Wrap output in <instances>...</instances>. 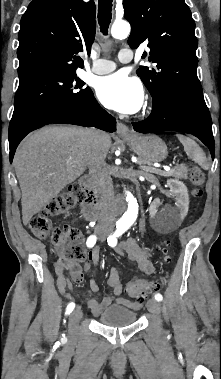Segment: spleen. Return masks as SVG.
Masks as SVG:
<instances>
[{"mask_svg": "<svg viewBox=\"0 0 221 379\" xmlns=\"http://www.w3.org/2000/svg\"><path fill=\"white\" fill-rule=\"evenodd\" d=\"M179 141L184 146V150L191 160L196 162L201 168L207 170L209 168L206 156L203 150L198 146V144L189 137L183 135H177Z\"/></svg>", "mask_w": 221, "mask_h": 379, "instance_id": "spleen-1", "label": "spleen"}]
</instances>
